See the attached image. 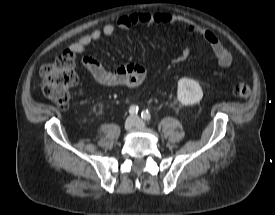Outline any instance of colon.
<instances>
[{"mask_svg": "<svg viewBox=\"0 0 275 215\" xmlns=\"http://www.w3.org/2000/svg\"><path fill=\"white\" fill-rule=\"evenodd\" d=\"M74 62L75 54L66 49L53 62L44 65L40 71L44 96L62 109L67 108L71 89L78 82ZM232 93L237 97L247 98L251 94V89L247 83L239 82L232 86Z\"/></svg>", "mask_w": 275, "mask_h": 215, "instance_id": "obj_1", "label": "colon"}]
</instances>
